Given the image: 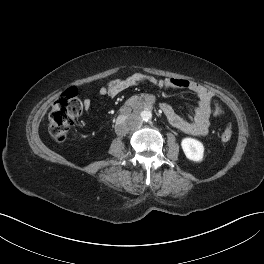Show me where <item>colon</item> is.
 Listing matches in <instances>:
<instances>
[{
	"instance_id": "colon-1",
	"label": "colon",
	"mask_w": 264,
	"mask_h": 264,
	"mask_svg": "<svg viewBox=\"0 0 264 264\" xmlns=\"http://www.w3.org/2000/svg\"><path fill=\"white\" fill-rule=\"evenodd\" d=\"M213 116L218 117L222 113L220 103L214 99L212 101ZM81 103L77 97V91L70 88L63 92L53 103L48 116V127L51 136L58 142H62L67 138L70 128L73 126L75 119L81 113ZM232 124L227 123L221 139L224 142L232 138Z\"/></svg>"
}]
</instances>
